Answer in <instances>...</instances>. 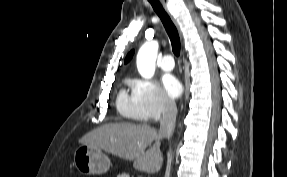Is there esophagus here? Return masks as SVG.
I'll list each match as a JSON object with an SVG mask.
<instances>
[{
  "label": "esophagus",
  "mask_w": 287,
  "mask_h": 177,
  "mask_svg": "<svg viewBox=\"0 0 287 177\" xmlns=\"http://www.w3.org/2000/svg\"><path fill=\"white\" fill-rule=\"evenodd\" d=\"M161 5L163 6L164 10L166 11V13L170 16V18L172 19V21L174 22V24L178 27V23L176 21V19L173 17L172 13L169 11L168 7H167V1L168 0H159ZM183 57H184V49H183Z\"/></svg>",
  "instance_id": "esophagus-1"
}]
</instances>
